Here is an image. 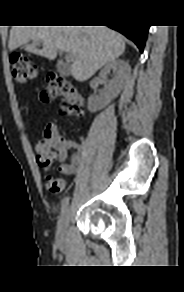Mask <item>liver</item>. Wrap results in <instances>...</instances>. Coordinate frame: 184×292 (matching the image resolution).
I'll return each instance as SVG.
<instances>
[{
  "label": "liver",
  "instance_id": "6515ba94",
  "mask_svg": "<svg viewBox=\"0 0 184 292\" xmlns=\"http://www.w3.org/2000/svg\"><path fill=\"white\" fill-rule=\"evenodd\" d=\"M30 40L42 43L43 48L27 45L26 50L49 60H54L59 50L70 53L71 74L80 82L125 51L123 37L106 26H13L9 49L14 50Z\"/></svg>",
  "mask_w": 184,
  "mask_h": 292
}]
</instances>
